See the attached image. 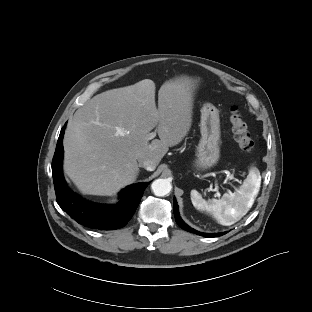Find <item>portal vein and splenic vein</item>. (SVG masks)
Wrapping results in <instances>:
<instances>
[{"mask_svg":"<svg viewBox=\"0 0 312 312\" xmlns=\"http://www.w3.org/2000/svg\"><path fill=\"white\" fill-rule=\"evenodd\" d=\"M155 136H156V132H151L147 135V140L149 141V140L153 139Z\"/></svg>","mask_w":312,"mask_h":312,"instance_id":"obj_1","label":"portal vein and splenic vein"}]
</instances>
